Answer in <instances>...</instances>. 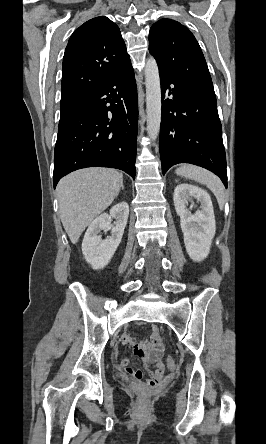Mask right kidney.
Returning <instances> with one entry per match:
<instances>
[{
	"instance_id": "ca27d5eb",
	"label": "right kidney",
	"mask_w": 266,
	"mask_h": 444,
	"mask_svg": "<svg viewBox=\"0 0 266 444\" xmlns=\"http://www.w3.org/2000/svg\"><path fill=\"white\" fill-rule=\"evenodd\" d=\"M128 216L129 205L121 202L110 209V214L100 215L89 225L82 242V253L93 269H103L113 257L121 242ZM111 218L116 219L114 227ZM107 229H111V236L102 240L99 233Z\"/></svg>"
}]
</instances>
